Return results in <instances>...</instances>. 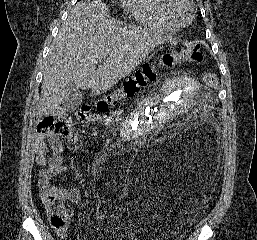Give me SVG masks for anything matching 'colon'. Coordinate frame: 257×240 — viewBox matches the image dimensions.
<instances>
[{
    "label": "colon",
    "mask_w": 257,
    "mask_h": 240,
    "mask_svg": "<svg viewBox=\"0 0 257 240\" xmlns=\"http://www.w3.org/2000/svg\"><path fill=\"white\" fill-rule=\"evenodd\" d=\"M202 58V49L199 44L183 51H169L164 53L155 63L145 65L134 75L125 79L119 90L103 96L96 102L99 110H105L124 97L134 96L139 90L148 83L156 80L158 72L162 69L173 67L183 61H199ZM206 87L215 90L219 86L218 77L208 72L204 77ZM79 118L84 122L94 120L96 117L89 106H83L78 111ZM64 124L55 121L51 117L43 118L38 124L39 132H60ZM42 200L47 210L50 224L57 230L66 229V209L64 203L66 196L58 188L50 189L42 193Z\"/></svg>",
    "instance_id": "colon-1"
}]
</instances>
